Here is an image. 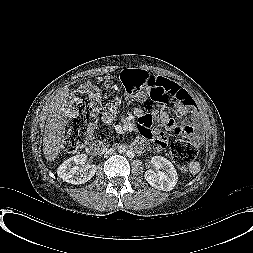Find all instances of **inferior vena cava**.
I'll list each match as a JSON object with an SVG mask.
<instances>
[{
    "label": "inferior vena cava",
    "mask_w": 253,
    "mask_h": 253,
    "mask_svg": "<svg viewBox=\"0 0 253 253\" xmlns=\"http://www.w3.org/2000/svg\"><path fill=\"white\" fill-rule=\"evenodd\" d=\"M107 153H108L109 155H113V154H114V150H113L112 148H109V149L107 150Z\"/></svg>",
    "instance_id": "602c4592"
}]
</instances>
